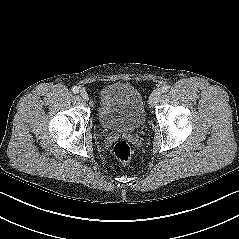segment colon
<instances>
[{
  "instance_id": "1",
  "label": "colon",
  "mask_w": 239,
  "mask_h": 239,
  "mask_svg": "<svg viewBox=\"0 0 239 239\" xmlns=\"http://www.w3.org/2000/svg\"><path fill=\"white\" fill-rule=\"evenodd\" d=\"M114 156L122 163H127L131 159L132 149L125 140H119L113 147Z\"/></svg>"
}]
</instances>
